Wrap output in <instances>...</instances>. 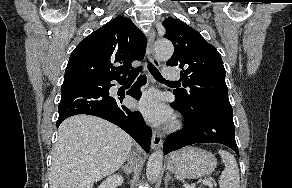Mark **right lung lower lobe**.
I'll return each instance as SVG.
<instances>
[{"label":"right lung lower lobe","instance_id":"right-lung-lower-lobe-1","mask_svg":"<svg viewBox=\"0 0 292 188\" xmlns=\"http://www.w3.org/2000/svg\"><path fill=\"white\" fill-rule=\"evenodd\" d=\"M101 83H89L79 80L64 81L61 87V101L58 107L60 123L73 115L88 114L106 119L127 132L146 152L150 151L151 130L145 124L139 111H130L122 100L124 95L113 96L109 89L112 80L100 79ZM122 83L123 79H117ZM146 82L145 76L139 77L127 94L140 99L139 87Z\"/></svg>","mask_w":292,"mask_h":188}]
</instances>
